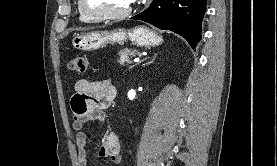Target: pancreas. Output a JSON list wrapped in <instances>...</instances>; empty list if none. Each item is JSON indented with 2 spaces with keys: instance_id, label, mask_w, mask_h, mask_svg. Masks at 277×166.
I'll return each mask as SVG.
<instances>
[{
  "instance_id": "pancreas-1",
  "label": "pancreas",
  "mask_w": 277,
  "mask_h": 166,
  "mask_svg": "<svg viewBox=\"0 0 277 166\" xmlns=\"http://www.w3.org/2000/svg\"><path fill=\"white\" fill-rule=\"evenodd\" d=\"M138 52L133 49H123L118 54L120 56L118 62L120 65H124L125 63H131V59L137 54Z\"/></svg>"
}]
</instances>
